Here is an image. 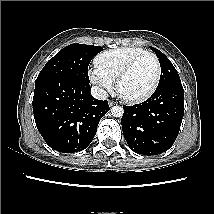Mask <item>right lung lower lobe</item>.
I'll use <instances>...</instances> for the list:
<instances>
[{"label": "right lung lower lobe", "instance_id": "98d812e1", "mask_svg": "<svg viewBox=\"0 0 214 214\" xmlns=\"http://www.w3.org/2000/svg\"><path fill=\"white\" fill-rule=\"evenodd\" d=\"M109 109L106 100L91 95L87 83L51 78L35 84L36 126L45 142L59 152L74 153L88 147Z\"/></svg>", "mask_w": 214, "mask_h": 214}]
</instances>
